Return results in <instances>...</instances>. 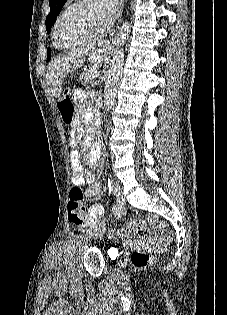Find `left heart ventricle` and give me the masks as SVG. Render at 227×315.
Segmentation results:
<instances>
[{
  "instance_id": "left-heart-ventricle-1",
  "label": "left heart ventricle",
  "mask_w": 227,
  "mask_h": 315,
  "mask_svg": "<svg viewBox=\"0 0 227 315\" xmlns=\"http://www.w3.org/2000/svg\"><path fill=\"white\" fill-rule=\"evenodd\" d=\"M106 21L96 0L78 6L61 22L58 40L62 45L82 42L100 32Z\"/></svg>"
}]
</instances>
